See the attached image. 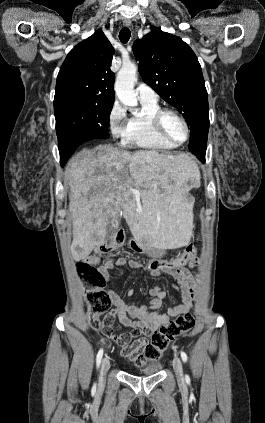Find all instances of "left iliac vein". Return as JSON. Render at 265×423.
<instances>
[{"label": "left iliac vein", "instance_id": "4c4485c4", "mask_svg": "<svg viewBox=\"0 0 265 423\" xmlns=\"http://www.w3.org/2000/svg\"><path fill=\"white\" fill-rule=\"evenodd\" d=\"M173 368L175 370L177 379L179 381H183L184 376H183V367H182V362L180 360L179 357H175L173 360Z\"/></svg>", "mask_w": 265, "mask_h": 423}]
</instances>
